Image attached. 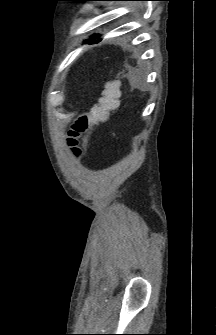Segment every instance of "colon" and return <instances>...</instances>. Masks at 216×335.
<instances>
[{"label": "colon", "instance_id": "5ec220e1", "mask_svg": "<svg viewBox=\"0 0 216 335\" xmlns=\"http://www.w3.org/2000/svg\"><path fill=\"white\" fill-rule=\"evenodd\" d=\"M120 89V80L107 82L98 102L88 112L82 114L69 130L67 143L75 157H80L82 154L79 147L80 137L87 134L94 125L106 122L109 115L118 108Z\"/></svg>", "mask_w": 216, "mask_h": 335}]
</instances>
